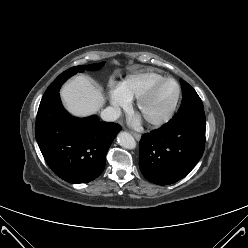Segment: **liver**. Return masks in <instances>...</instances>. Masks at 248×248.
Returning a JSON list of instances; mask_svg holds the SVG:
<instances>
[{
    "label": "liver",
    "mask_w": 248,
    "mask_h": 248,
    "mask_svg": "<svg viewBox=\"0 0 248 248\" xmlns=\"http://www.w3.org/2000/svg\"><path fill=\"white\" fill-rule=\"evenodd\" d=\"M60 95L66 109L80 117L98 112L105 102L101 89L84 76H76L67 82Z\"/></svg>",
    "instance_id": "6515ba94"
}]
</instances>
